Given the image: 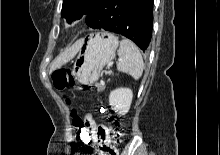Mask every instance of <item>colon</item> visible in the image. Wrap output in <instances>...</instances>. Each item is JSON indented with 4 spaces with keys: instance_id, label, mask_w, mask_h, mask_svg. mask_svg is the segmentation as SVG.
<instances>
[{
    "instance_id": "1",
    "label": "colon",
    "mask_w": 220,
    "mask_h": 155,
    "mask_svg": "<svg viewBox=\"0 0 220 155\" xmlns=\"http://www.w3.org/2000/svg\"><path fill=\"white\" fill-rule=\"evenodd\" d=\"M52 82L54 88L61 93L75 86V80L72 71L69 68H59L52 73ZM104 113V110H101ZM73 124L75 128L76 144H91L92 135L87 123L79 118L76 113L72 112ZM114 118L109 117L106 122L99 125L95 141L89 146L83 155H117L116 145H120L122 133H114Z\"/></svg>"
}]
</instances>
